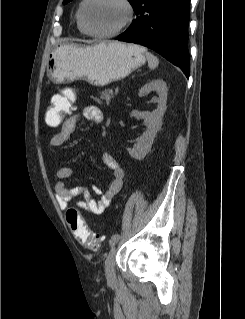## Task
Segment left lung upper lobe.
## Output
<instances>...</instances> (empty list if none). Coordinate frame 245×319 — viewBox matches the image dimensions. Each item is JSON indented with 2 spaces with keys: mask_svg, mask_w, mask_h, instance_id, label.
Here are the masks:
<instances>
[{
  "mask_svg": "<svg viewBox=\"0 0 245 319\" xmlns=\"http://www.w3.org/2000/svg\"><path fill=\"white\" fill-rule=\"evenodd\" d=\"M70 1L71 0H64L63 4H66V3L70 2ZM128 1L131 3L133 9L135 8V6H136V4L138 2V0H128Z\"/></svg>",
  "mask_w": 245,
  "mask_h": 319,
  "instance_id": "5c2ea615",
  "label": "left lung upper lobe"
}]
</instances>
